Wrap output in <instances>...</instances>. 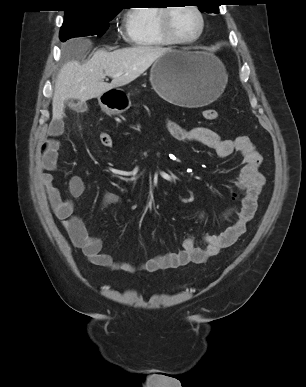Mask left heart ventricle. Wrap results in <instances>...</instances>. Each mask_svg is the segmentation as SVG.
Returning a JSON list of instances; mask_svg holds the SVG:
<instances>
[{"instance_id":"b2bd125f","label":"left heart ventricle","mask_w":306,"mask_h":387,"mask_svg":"<svg viewBox=\"0 0 306 387\" xmlns=\"http://www.w3.org/2000/svg\"><path fill=\"white\" fill-rule=\"evenodd\" d=\"M171 25L174 33L183 39L194 37L200 27L198 15L191 8L176 7L171 15Z\"/></svg>"}]
</instances>
